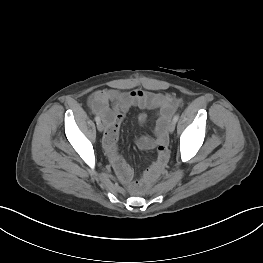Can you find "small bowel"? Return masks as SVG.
<instances>
[{
    "label": "small bowel",
    "instance_id": "c3829d8e",
    "mask_svg": "<svg viewBox=\"0 0 263 263\" xmlns=\"http://www.w3.org/2000/svg\"><path fill=\"white\" fill-rule=\"evenodd\" d=\"M90 106L105 123L106 129L103 137L104 149L116 173L125 184H131L133 171L120 154L117 145L119 128L124 119V115L132 107L157 111L158 119L154 136L140 137L138 139V146L143 150L157 147V159L149 168L148 175H154L159 171L168 157L166 127L170 116L178 106V100L168 95L142 89H134L131 91L103 89L91 95ZM146 120L147 115L141 113L139 115V121L145 123ZM139 185L140 183L136 184L137 187Z\"/></svg>",
    "mask_w": 263,
    "mask_h": 263
}]
</instances>
